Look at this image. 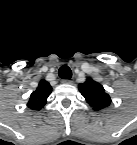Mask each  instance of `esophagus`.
Segmentation results:
<instances>
[{
	"mask_svg": "<svg viewBox=\"0 0 137 145\" xmlns=\"http://www.w3.org/2000/svg\"><path fill=\"white\" fill-rule=\"evenodd\" d=\"M62 83H64V84H72L73 82L70 79H64V80H62Z\"/></svg>",
	"mask_w": 137,
	"mask_h": 145,
	"instance_id": "esophagus-1",
	"label": "esophagus"
}]
</instances>
